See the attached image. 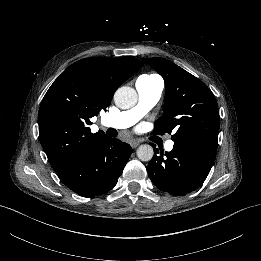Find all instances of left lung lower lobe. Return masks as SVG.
<instances>
[{
	"label": "left lung lower lobe",
	"mask_w": 261,
	"mask_h": 261,
	"mask_svg": "<svg viewBox=\"0 0 261 261\" xmlns=\"http://www.w3.org/2000/svg\"><path fill=\"white\" fill-rule=\"evenodd\" d=\"M153 145V144H152ZM155 146V145H154ZM155 152L159 154L155 146ZM217 144L201 138L174 141L173 150L154 155L147 166L153 184L175 196L199 188L213 165Z\"/></svg>",
	"instance_id": "0a47b994"
}]
</instances>
